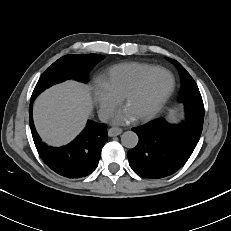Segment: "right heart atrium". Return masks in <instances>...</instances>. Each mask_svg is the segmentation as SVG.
Instances as JSON below:
<instances>
[{"label": "right heart atrium", "instance_id": "right-heart-atrium-1", "mask_svg": "<svg viewBox=\"0 0 231 231\" xmlns=\"http://www.w3.org/2000/svg\"><path fill=\"white\" fill-rule=\"evenodd\" d=\"M94 95L98 104L99 113L104 119L109 118L121 102V99L116 97L102 80L95 82Z\"/></svg>", "mask_w": 231, "mask_h": 231}]
</instances>
